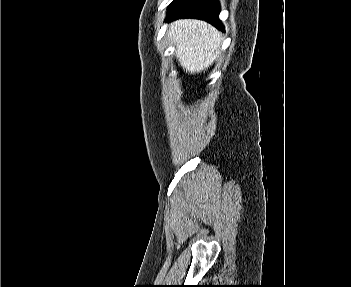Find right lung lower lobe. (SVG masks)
Here are the masks:
<instances>
[{
    "label": "right lung lower lobe",
    "mask_w": 351,
    "mask_h": 287,
    "mask_svg": "<svg viewBox=\"0 0 351 287\" xmlns=\"http://www.w3.org/2000/svg\"><path fill=\"white\" fill-rule=\"evenodd\" d=\"M220 6L217 0H174L167 14V21L178 18L202 19L223 31L219 20Z\"/></svg>",
    "instance_id": "obj_1"
}]
</instances>
